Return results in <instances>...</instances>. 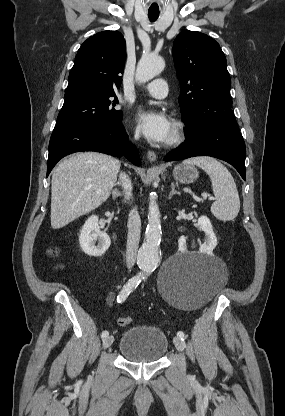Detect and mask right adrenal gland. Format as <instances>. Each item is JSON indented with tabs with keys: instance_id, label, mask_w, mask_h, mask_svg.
<instances>
[{
	"instance_id": "obj_1",
	"label": "right adrenal gland",
	"mask_w": 285,
	"mask_h": 416,
	"mask_svg": "<svg viewBox=\"0 0 285 416\" xmlns=\"http://www.w3.org/2000/svg\"><path fill=\"white\" fill-rule=\"evenodd\" d=\"M118 196H122L121 192H119V190H112L113 200H116V198H118Z\"/></svg>"
}]
</instances>
